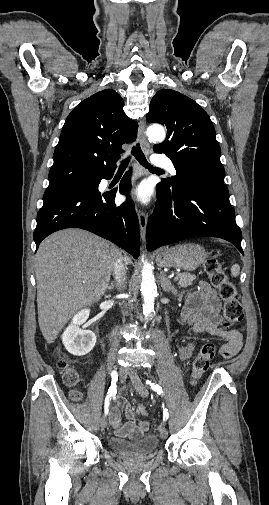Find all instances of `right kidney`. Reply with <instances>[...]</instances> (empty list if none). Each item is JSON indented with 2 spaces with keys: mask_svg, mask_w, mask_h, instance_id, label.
<instances>
[{
  "mask_svg": "<svg viewBox=\"0 0 269 505\" xmlns=\"http://www.w3.org/2000/svg\"><path fill=\"white\" fill-rule=\"evenodd\" d=\"M90 310L83 309L72 319L71 324L62 334L63 344L66 350L76 356L88 354L95 346L96 336L90 330H83L80 325L89 318Z\"/></svg>",
  "mask_w": 269,
  "mask_h": 505,
  "instance_id": "ca27d5eb",
  "label": "right kidney"
}]
</instances>
